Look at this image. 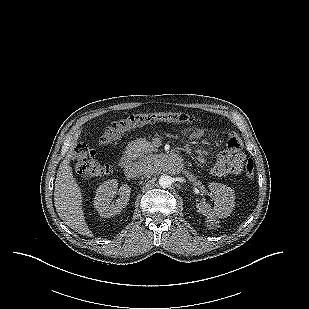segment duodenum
Masks as SVG:
<instances>
[{
    "mask_svg": "<svg viewBox=\"0 0 309 309\" xmlns=\"http://www.w3.org/2000/svg\"><path fill=\"white\" fill-rule=\"evenodd\" d=\"M133 161V153L132 151H126L121 157V164L123 168L127 169L131 166Z\"/></svg>",
    "mask_w": 309,
    "mask_h": 309,
    "instance_id": "duodenum-1",
    "label": "duodenum"
}]
</instances>
